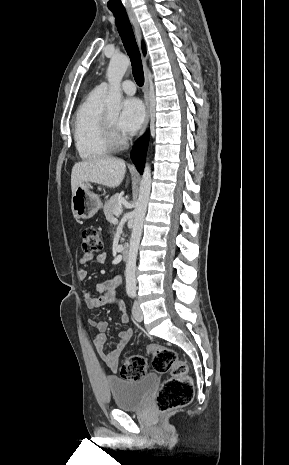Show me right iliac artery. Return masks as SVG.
<instances>
[{"label":"right iliac artery","instance_id":"82829eb1","mask_svg":"<svg viewBox=\"0 0 289 465\" xmlns=\"http://www.w3.org/2000/svg\"><path fill=\"white\" fill-rule=\"evenodd\" d=\"M128 295H129V296H132V293H129Z\"/></svg>","mask_w":289,"mask_h":465}]
</instances>
